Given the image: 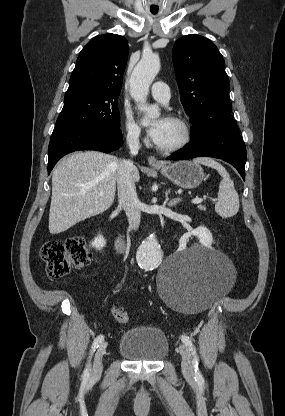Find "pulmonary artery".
Returning <instances> with one entry per match:
<instances>
[{"label": "pulmonary artery", "mask_w": 285, "mask_h": 416, "mask_svg": "<svg viewBox=\"0 0 285 416\" xmlns=\"http://www.w3.org/2000/svg\"><path fill=\"white\" fill-rule=\"evenodd\" d=\"M166 86L167 84L162 81H157L152 85V95L160 102H168L170 100L171 89Z\"/></svg>", "instance_id": "obj_1"}]
</instances>
